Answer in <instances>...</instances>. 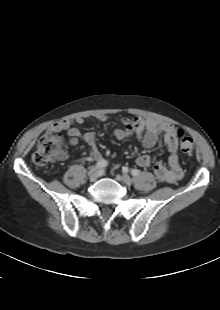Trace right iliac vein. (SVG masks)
Segmentation results:
<instances>
[{
  "label": "right iliac vein",
  "instance_id": "right-iliac-vein-1",
  "mask_svg": "<svg viewBox=\"0 0 220 310\" xmlns=\"http://www.w3.org/2000/svg\"><path fill=\"white\" fill-rule=\"evenodd\" d=\"M98 176H99V174H98V171H93L91 174H90V181L91 182H94V181H96L97 180V178H98Z\"/></svg>",
  "mask_w": 220,
  "mask_h": 310
}]
</instances>
